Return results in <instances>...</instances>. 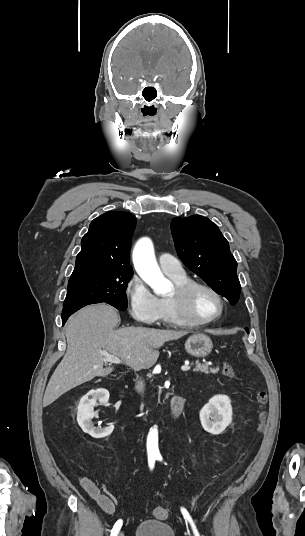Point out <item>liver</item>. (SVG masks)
<instances>
[{
	"mask_svg": "<svg viewBox=\"0 0 305 536\" xmlns=\"http://www.w3.org/2000/svg\"><path fill=\"white\" fill-rule=\"evenodd\" d=\"M120 318L112 306L93 304L79 310L65 326L66 354L56 368L45 390L43 408L53 404L65 392L93 380L108 376L113 368H103L102 354L121 358L135 372L149 370L159 358L157 348L165 342L179 340L189 332L154 330V328H121L114 330Z\"/></svg>",
	"mask_w": 305,
	"mask_h": 536,
	"instance_id": "6515ba94",
	"label": "liver"
}]
</instances>
